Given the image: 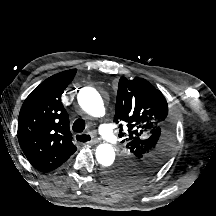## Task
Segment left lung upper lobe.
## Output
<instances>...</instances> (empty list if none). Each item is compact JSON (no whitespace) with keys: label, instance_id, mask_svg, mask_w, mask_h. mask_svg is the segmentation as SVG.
Returning a JSON list of instances; mask_svg holds the SVG:
<instances>
[{"label":"left lung upper lobe","instance_id":"5c2ea615","mask_svg":"<svg viewBox=\"0 0 216 216\" xmlns=\"http://www.w3.org/2000/svg\"><path fill=\"white\" fill-rule=\"evenodd\" d=\"M114 121L120 122L124 150L117 164L106 168L103 176L114 187L133 188L149 180L165 163L174 141L173 112L151 83L121 77Z\"/></svg>","mask_w":216,"mask_h":216}]
</instances>
